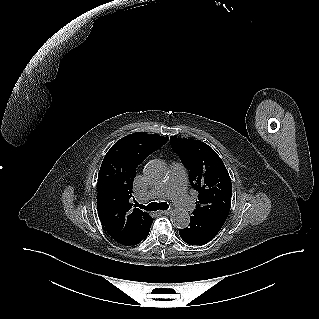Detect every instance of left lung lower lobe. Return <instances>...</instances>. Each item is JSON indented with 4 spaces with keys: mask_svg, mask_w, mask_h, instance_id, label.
<instances>
[{
    "mask_svg": "<svg viewBox=\"0 0 319 319\" xmlns=\"http://www.w3.org/2000/svg\"><path fill=\"white\" fill-rule=\"evenodd\" d=\"M188 227L181 229L179 234L187 244L203 245L219 232L226 219L213 216L192 215Z\"/></svg>",
    "mask_w": 319,
    "mask_h": 319,
    "instance_id": "1",
    "label": "left lung lower lobe"
}]
</instances>
